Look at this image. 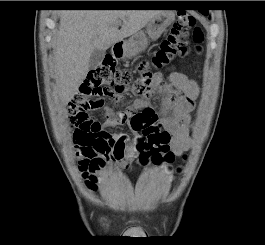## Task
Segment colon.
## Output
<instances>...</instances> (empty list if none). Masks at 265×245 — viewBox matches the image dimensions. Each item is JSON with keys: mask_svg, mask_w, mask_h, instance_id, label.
Masks as SVG:
<instances>
[{"mask_svg": "<svg viewBox=\"0 0 265 245\" xmlns=\"http://www.w3.org/2000/svg\"><path fill=\"white\" fill-rule=\"evenodd\" d=\"M202 40V32L196 27L195 17L181 13L170 35L162 42L161 48L151 61H140L136 71L118 69L115 59L107 57L88 73L82 93L77 94L68 105L67 112L75 128V141L89 149L108 150L122 156L126 152L125 144L99 130L97 119L87 113L90 108L96 106V103L89 101L88 98L119 97L127 90L140 97L153 96L158 88L154 69L167 66L174 58L187 57L191 52L190 43L198 46ZM124 122H128L133 131L140 133V138L131 153H137L141 165L169 164L173 161L174 154L169 148L170 134L157 124L155 115L148 111H140Z\"/></svg>", "mask_w": 265, "mask_h": 245, "instance_id": "5ec220e1", "label": "colon"}]
</instances>
